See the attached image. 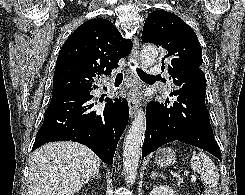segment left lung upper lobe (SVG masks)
<instances>
[{
  "label": "left lung upper lobe",
  "mask_w": 245,
  "mask_h": 195,
  "mask_svg": "<svg viewBox=\"0 0 245 195\" xmlns=\"http://www.w3.org/2000/svg\"><path fill=\"white\" fill-rule=\"evenodd\" d=\"M142 41L155 43L166 50L165 57L172 56L168 72L179 89L169 96L188 93L205 99L201 46L195 32L181 18L167 11L152 12L145 21Z\"/></svg>",
  "instance_id": "left-lung-upper-lobe-1"
}]
</instances>
